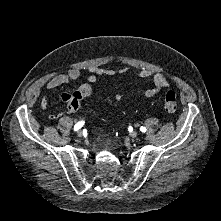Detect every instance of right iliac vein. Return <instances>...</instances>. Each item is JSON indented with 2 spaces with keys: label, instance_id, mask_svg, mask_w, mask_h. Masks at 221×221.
I'll list each match as a JSON object with an SVG mask.
<instances>
[{
  "label": "right iliac vein",
  "instance_id": "63e3f726",
  "mask_svg": "<svg viewBox=\"0 0 221 221\" xmlns=\"http://www.w3.org/2000/svg\"><path fill=\"white\" fill-rule=\"evenodd\" d=\"M77 136H78L79 138L83 137V132H82L81 130H79V131L77 132Z\"/></svg>",
  "mask_w": 221,
  "mask_h": 221
}]
</instances>
